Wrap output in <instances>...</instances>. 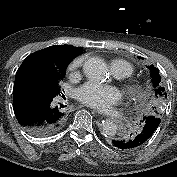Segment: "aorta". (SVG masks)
<instances>
[{"instance_id": "762f6f07", "label": "aorta", "mask_w": 177, "mask_h": 177, "mask_svg": "<svg viewBox=\"0 0 177 177\" xmlns=\"http://www.w3.org/2000/svg\"><path fill=\"white\" fill-rule=\"evenodd\" d=\"M84 74L93 81H101L107 77L106 63L99 57L88 58L83 65ZM102 134L108 137L114 136L117 126L110 120H106L101 127Z\"/></svg>"}]
</instances>
